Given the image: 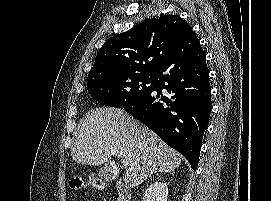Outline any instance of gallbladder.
Segmentation results:
<instances>
[{"label": "gallbladder", "instance_id": "1", "mask_svg": "<svg viewBox=\"0 0 271 201\" xmlns=\"http://www.w3.org/2000/svg\"><path fill=\"white\" fill-rule=\"evenodd\" d=\"M98 175L104 181H111L117 177L116 167L111 161H107L104 166L99 169Z\"/></svg>", "mask_w": 271, "mask_h": 201}]
</instances>
